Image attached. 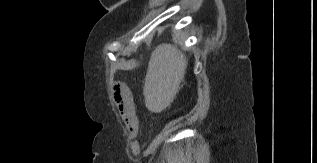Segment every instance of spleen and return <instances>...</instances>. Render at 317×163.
Masks as SVG:
<instances>
[{"label": "spleen", "instance_id": "1", "mask_svg": "<svg viewBox=\"0 0 317 163\" xmlns=\"http://www.w3.org/2000/svg\"><path fill=\"white\" fill-rule=\"evenodd\" d=\"M187 67L186 57L170 44L157 46L151 55L143 94L146 106L161 112L170 105Z\"/></svg>", "mask_w": 317, "mask_h": 163}]
</instances>
